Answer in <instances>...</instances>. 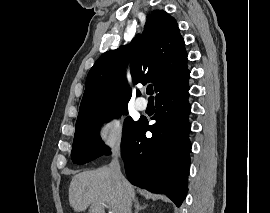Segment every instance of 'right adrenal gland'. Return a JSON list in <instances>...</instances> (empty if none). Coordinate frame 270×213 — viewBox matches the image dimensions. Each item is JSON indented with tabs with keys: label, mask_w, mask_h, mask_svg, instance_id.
I'll list each match as a JSON object with an SVG mask.
<instances>
[{
	"label": "right adrenal gland",
	"mask_w": 270,
	"mask_h": 213,
	"mask_svg": "<svg viewBox=\"0 0 270 213\" xmlns=\"http://www.w3.org/2000/svg\"><path fill=\"white\" fill-rule=\"evenodd\" d=\"M135 212L134 213H139V211L144 210L145 208H147V205L141 206L138 200H135Z\"/></svg>",
	"instance_id": "1"
}]
</instances>
